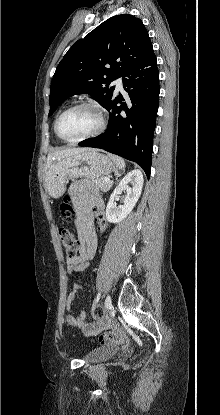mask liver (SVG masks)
I'll return each mask as SVG.
<instances>
[{"mask_svg": "<svg viewBox=\"0 0 220 415\" xmlns=\"http://www.w3.org/2000/svg\"><path fill=\"white\" fill-rule=\"evenodd\" d=\"M87 150L88 149H86V148H68V149H62V150H58V151H55L53 153H50L47 157L46 168H49L51 166L53 160H55V159L60 160L62 158L72 156V155H76V154L82 153V152L87 151Z\"/></svg>", "mask_w": 220, "mask_h": 415, "instance_id": "1", "label": "liver"}]
</instances>
